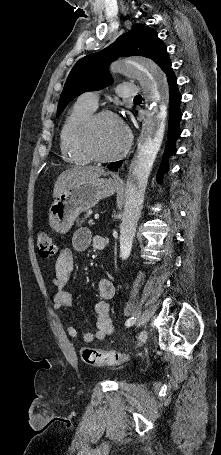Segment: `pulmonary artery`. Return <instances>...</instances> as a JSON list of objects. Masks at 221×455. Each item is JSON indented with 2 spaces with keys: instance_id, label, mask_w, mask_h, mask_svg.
Instances as JSON below:
<instances>
[{
  "instance_id": "1",
  "label": "pulmonary artery",
  "mask_w": 221,
  "mask_h": 455,
  "mask_svg": "<svg viewBox=\"0 0 221 455\" xmlns=\"http://www.w3.org/2000/svg\"><path fill=\"white\" fill-rule=\"evenodd\" d=\"M117 93L119 96L128 97L136 96L139 93V88L135 84L122 83L117 87ZM99 94L94 91L85 92L80 96V100L89 106L96 108L98 103Z\"/></svg>"
}]
</instances>
